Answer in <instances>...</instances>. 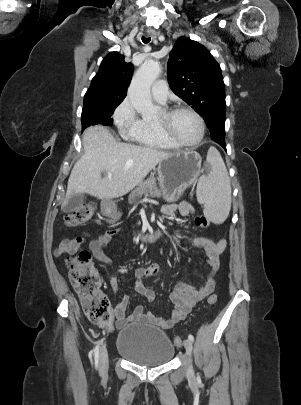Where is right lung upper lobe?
I'll list each match as a JSON object with an SVG mask.
<instances>
[{
    "mask_svg": "<svg viewBox=\"0 0 301 405\" xmlns=\"http://www.w3.org/2000/svg\"><path fill=\"white\" fill-rule=\"evenodd\" d=\"M133 74V65L124 61L118 52L109 53L84 96V101L98 98L122 102Z\"/></svg>",
    "mask_w": 301,
    "mask_h": 405,
    "instance_id": "1",
    "label": "right lung upper lobe"
}]
</instances>
